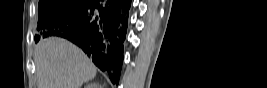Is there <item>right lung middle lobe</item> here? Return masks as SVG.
Listing matches in <instances>:
<instances>
[{"label": "right lung middle lobe", "mask_w": 267, "mask_h": 88, "mask_svg": "<svg viewBox=\"0 0 267 88\" xmlns=\"http://www.w3.org/2000/svg\"><path fill=\"white\" fill-rule=\"evenodd\" d=\"M89 0H39L38 27L41 35L35 37L38 42L47 37L49 27L59 20L66 19L84 7Z\"/></svg>", "instance_id": "right-lung-middle-lobe-1"}]
</instances>
